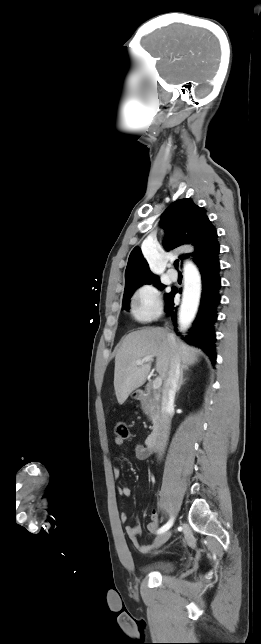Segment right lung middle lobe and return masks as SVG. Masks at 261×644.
Returning a JSON list of instances; mask_svg holds the SVG:
<instances>
[{"mask_svg":"<svg viewBox=\"0 0 261 644\" xmlns=\"http://www.w3.org/2000/svg\"><path fill=\"white\" fill-rule=\"evenodd\" d=\"M143 284H154L157 285L158 288H162V285L160 284L159 280L156 281H150V282H141V283H136L132 285L131 287L127 288L124 290V296H123V304H122V309L129 310V303H130V298L133 294V292L141 285ZM173 290L170 293L165 294V299L166 303L167 301L171 298L173 295Z\"/></svg>","mask_w":261,"mask_h":644,"instance_id":"right-lung-middle-lobe-1","label":"right lung middle lobe"}]
</instances>
